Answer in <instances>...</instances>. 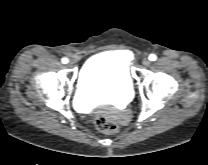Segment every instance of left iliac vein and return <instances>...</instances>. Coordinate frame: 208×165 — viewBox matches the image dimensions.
<instances>
[{"instance_id":"obj_1","label":"left iliac vein","mask_w":208,"mask_h":165,"mask_svg":"<svg viewBox=\"0 0 208 165\" xmlns=\"http://www.w3.org/2000/svg\"><path fill=\"white\" fill-rule=\"evenodd\" d=\"M142 63L144 66H149L151 62L147 57H145L143 58Z\"/></svg>"}]
</instances>
